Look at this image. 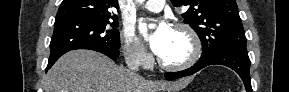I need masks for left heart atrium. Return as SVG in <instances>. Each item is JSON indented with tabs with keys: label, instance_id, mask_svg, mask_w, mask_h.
Here are the masks:
<instances>
[{
	"label": "left heart atrium",
	"instance_id": "39dd6f15",
	"mask_svg": "<svg viewBox=\"0 0 289 92\" xmlns=\"http://www.w3.org/2000/svg\"><path fill=\"white\" fill-rule=\"evenodd\" d=\"M140 31L151 50L160 57L167 51L174 33V29L166 21L159 22L154 30L143 23Z\"/></svg>",
	"mask_w": 289,
	"mask_h": 92
}]
</instances>
